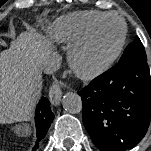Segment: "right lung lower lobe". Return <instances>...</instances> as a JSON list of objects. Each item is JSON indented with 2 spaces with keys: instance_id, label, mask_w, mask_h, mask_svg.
<instances>
[{
  "instance_id": "1",
  "label": "right lung lower lobe",
  "mask_w": 151,
  "mask_h": 151,
  "mask_svg": "<svg viewBox=\"0 0 151 151\" xmlns=\"http://www.w3.org/2000/svg\"><path fill=\"white\" fill-rule=\"evenodd\" d=\"M54 119L48 99L42 98L36 107L35 122L37 130V142L33 147V151L39 147V141L46 136V132Z\"/></svg>"
}]
</instances>
